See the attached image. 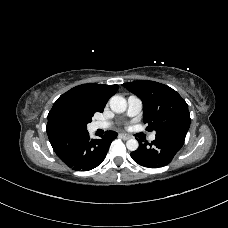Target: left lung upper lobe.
I'll list each match as a JSON object with an SVG mask.
<instances>
[{"label":"left lung upper lobe","mask_w":228,"mask_h":228,"mask_svg":"<svg viewBox=\"0 0 228 228\" xmlns=\"http://www.w3.org/2000/svg\"><path fill=\"white\" fill-rule=\"evenodd\" d=\"M123 86L141 98L144 123L148 124L147 130H154L156 134L187 133L190 126L188 105L175 90L148 80L128 82Z\"/></svg>","instance_id":"1"}]
</instances>
